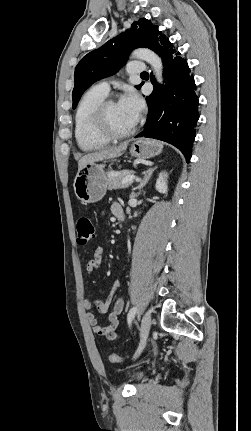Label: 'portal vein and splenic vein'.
Listing matches in <instances>:
<instances>
[{"label": "portal vein and splenic vein", "mask_w": 251, "mask_h": 431, "mask_svg": "<svg viewBox=\"0 0 251 431\" xmlns=\"http://www.w3.org/2000/svg\"><path fill=\"white\" fill-rule=\"evenodd\" d=\"M135 178V175L127 176L122 180V184L131 183Z\"/></svg>", "instance_id": "obj_1"}]
</instances>
